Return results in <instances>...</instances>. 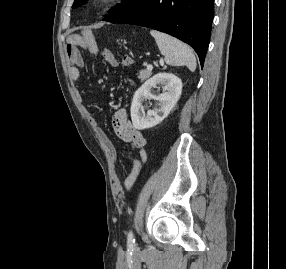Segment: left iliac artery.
Instances as JSON below:
<instances>
[{"label": "left iliac artery", "instance_id": "obj_1", "mask_svg": "<svg viewBox=\"0 0 286 269\" xmlns=\"http://www.w3.org/2000/svg\"><path fill=\"white\" fill-rule=\"evenodd\" d=\"M127 245L129 247H133L135 245V239L132 231H129L128 237H127Z\"/></svg>", "mask_w": 286, "mask_h": 269}]
</instances>
